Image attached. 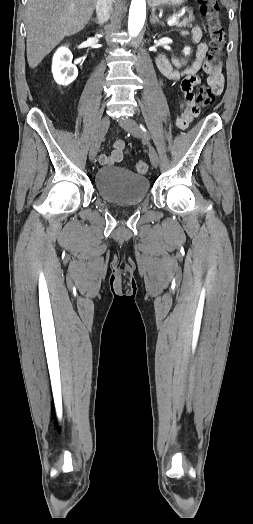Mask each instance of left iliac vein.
<instances>
[{
  "instance_id": "left-iliac-vein-1",
  "label": "left iliac vein",
  "mask_w": 253,
  "mask_h": 524,
  "mask_svg": "<svg viewBox=\"0 0 253 524\" xmlns=\"http://www.w3.org/2000/svg\"><path fill=\"white\" fill-rule=\"evenodd\" d=\"M119 124L122 128L128 131L132 136L138 137V138H144L146 140L145 135L139 128L136 121L133 120L132 118L123 117L119 120ZM148 147H149V158H150L151 164L154 167H157L159 164V157H158L157 151L150 143H148Z\"/></svg>"
}]
</instances>
